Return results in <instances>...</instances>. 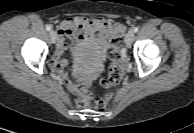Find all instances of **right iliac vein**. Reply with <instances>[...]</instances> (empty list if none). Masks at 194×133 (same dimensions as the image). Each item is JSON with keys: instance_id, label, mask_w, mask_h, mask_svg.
I'll list each match as a JSON object with an SVG mask.
<instances>
[{"instance_id": "63e3f726", "label": "right iliac vein", "mask_w": 194, "mask_h": 133, "mask_svg": "<svg viewBox=\"0 0 194 133\" xmlns=\"http://www.w3.org/2000/svg\"><path fill=\"white\" fill-rule=\"evenodd\" d=\"M50 39H51L52 43H56V41H57V34H56V32L54 30L50 31Z\"/></svg>"}]
</instances>
